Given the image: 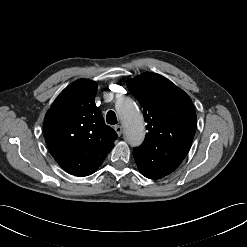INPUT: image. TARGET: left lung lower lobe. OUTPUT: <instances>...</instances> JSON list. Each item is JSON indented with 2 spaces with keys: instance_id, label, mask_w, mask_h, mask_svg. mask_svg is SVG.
Instances as JSON below:
<instances>
[{
  "instance_id": "obj_1",
  "label": "left lung lower lobe",
  "mask_w": 247,
  "mask_h": 247,
  "mask_svg": "<svg viewBox=\"0 0 247 247\" xmlns=\"http://www.w3.org/2000/svg\"><path fill=\"white\" fill-rule=\"evenodd\" d=\"M143 176L150 179H160L173 172L179 165L167 161H160L151 165L137 164Z\"/></svg>"
}]
</instances>
